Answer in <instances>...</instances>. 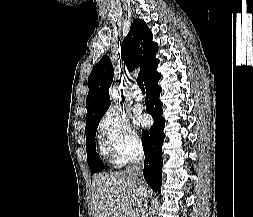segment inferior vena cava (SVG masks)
<instances>
[{
    "label": "inferior vena cava",
    "mask_w": 253,
    "mask_h": 217,
    "mask_svg": "<svg viewBox=\"0 0 253 217\" xmlns=\"http://www.w3.org/2000/svg\"><path fill=\"white\" fill-rule=\"evenodd\" d=\"M144 152L141 143H137L130 156L129 165L126 171L131 174L134 184V193L137 196V203L140 209L138 217H146V207L148 199V187L145 185L144 179H139L143 171Z\"/></svg>",
    "instance_id": "602c4592"
}]
</instances>
